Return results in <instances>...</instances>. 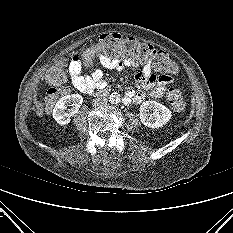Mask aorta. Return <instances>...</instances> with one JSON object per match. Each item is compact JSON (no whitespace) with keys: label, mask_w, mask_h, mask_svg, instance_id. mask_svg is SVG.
<instances>
[{"label":"aorta","mask_w":233,"mask_h":233,"mask_svg":"<svg viewBox=\"0 0 233 233\" xmlns=\"http://www.w3.org/2000/svg\"><path fill=\"white\" fill-rule=\"evenodd\" d=\"M120 100H121L120 94L117 92H113L109 97V101L111 104H118Z\"/></svg>","instance_id":"aorta-1"}]
</instances>
